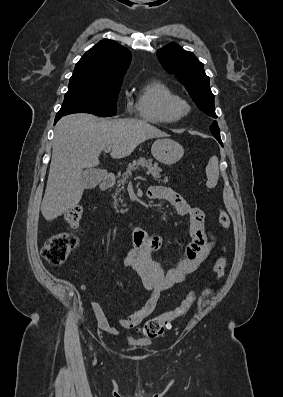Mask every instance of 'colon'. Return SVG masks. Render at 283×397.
I'll list each match as a JSON object with an SVG mask.
<instances>
[{
	"label": "colon",
	"mask_w": 283,
	"mask_h": 397,
	"mask_svg": "<svg viewBox=\"0 0 283 397\" xmlns=\"http://www.w3.org/2000/svg\"><path fill=\"white\" fill-rule=\"evenodd\" d=\"M65 222L72 230H77L80 227L82 220V208L75 206L70 208L65 213ZM218 222L224 229L230 226V217L228 213L221 209L218 214ZM78 243V236L75 232L67 231L53 235L49 238L42 247L41 253L43 258L49 263L59 266L62 265L74 250ZM227 260L224 255H221L213 268L212 277L214 280L220 279L226 269ZM198 298L197 292L188 294L176 307L173 309L148 320L141 328L140 332L146 338L154 339L162 336L166 329H169L172 323L183 317Z\"/></svg>",
	"instance_id": "obj_1"
}]
</instances>
